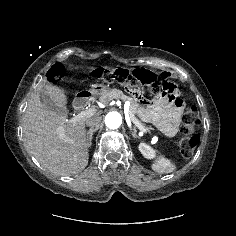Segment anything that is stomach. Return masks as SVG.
Instances as JSON below:
<instances>
[{
  "instance_id": "stomach-1",
  "label": "stomach",
  "mask_w": 236,
  "mask_h": 236,
  "mask_svg": "<svg viewBox=\"0 0 236 236\" xmlns=\"http://www.w3.org/2000/svg\"><path fill=\"white\" fill-rule=\"evenodd\" d=\"M109 91V88L106 85L103 84H94L92 85L91 89L87 92L89 93V96H103L105 93ZM78 98L79 97H88L87 93L79 92L77 93Z\"/></svg>"
}]
</instances>
